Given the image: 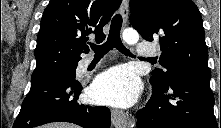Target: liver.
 Returning <instances> with one entry per match:
<instances>
[{
	"mask_svg": "<svg viewBox=\"0 0 221 128\" xmlns=\"http://www.w3.org/2000/svg\"><path fill=\"white\" fill-rule=\"evenodd\" d=\"M41 128H79L77 125L71 124V123H50L43 125Z\"/></svg>",
	"mask_w": 221,
	"mask_h": 128,
	"instance_id": "1",
	"label": "liver"
}]
</instances>
